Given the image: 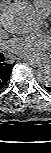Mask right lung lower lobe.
I'll use <instances>...</instances> for the list:
<instances>
[{
    "instance_id": "1",
    "label": "right lung lower lobe",
    "mask_w": 51,
    "mask_h": 153,
    "mask_svg": "<svg viewBox=\"0 0 51 153\" xmlns=\"http://www.w3.org/2000/svg\"><path fill=\"white\" fill-rule=\"evenodd\" d=\"M14 64L4 63L0 54V89L8 81Z\"/></svg>"
}]
</instances>
